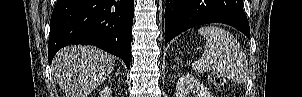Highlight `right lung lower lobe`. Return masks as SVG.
I'll list each match as a JSON object with an SVG mask.
<instances>
[{
	"label": "right lung lower lobe",
	"instance_id": "right-lung-lower-lobe-1",
	"mask_svg": "<svg viewBox=\"0 0 302 97\" xmlns=\"http://www.w3.org/2000/svg\"><path fill=\"white\" fill-rule=\"evenodd\" d=\"M134 0H57L50 21L48 61L70 44L94 45L130 68Z\"/></svg>",
	"mask_w": 302,
	"mask_h": 97
}]
</instances>
